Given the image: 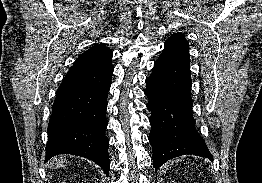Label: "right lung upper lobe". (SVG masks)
I'll list each match as a JSON object with an SVG mask.
<instances>
[{"mask_svg":"<svg viewBox=\"0 0 262 183\" xmlns=\"http://www.w3.org/2000/svg\"><path fill=\"white\" fill-rule=\"evenodd\" d=\"M112 52L104 44H95L81 54L73 66H104L110 64Z\"/></svg>","mask_w":262,"mask_h":183,"instance_id":"cb5924a9","label":"right lung upper lobe"}]
</instances>
